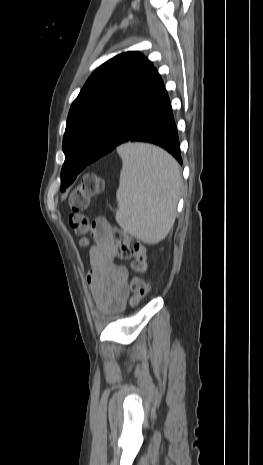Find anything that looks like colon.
Segmentation results:
<instances>
[{"label":"colon","mask_w":263,"mask_h":465,"mask_svg":"<svg viewBox=\"0 0 263 465\" xmlns=\"http://www.w3.org/2000/svg\"><path fill=\"white\" fill-rule=\"evenodd\" d=\"M105 188L104 180L96 173L85 174L78 186L69 196L71 214L69 224L74 232L82 237L81 244L87 246V235L93 236L96 228H108L104 221H90L84 214L90 198L99 194ZM109 230V228H108ZM111 236L119 246L121 254L126 258H133L132 267L137 272L130 282V304L137 305L147 294V281L141 276L146 270V256L143 245L121 230L112 229Z\"/></svg>","instance_id":"1"}]
</instances>
